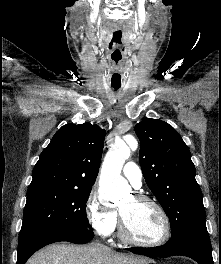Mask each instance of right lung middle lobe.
<instances>
[{
    "mask_svg": "<svg viewBox=\"0 0 221 264\" xmlns=\"http://www.w3.org/2000/svg\"><path fill=\"white\" fill-rule=\"evenodd\" d=\"M91 189L43 187L28 190L19 239L38 233L90 230L86 202Z\"/></svg>",
    "mask_w": 221,
    "mask_h": 264,
    "instance_id": "obj_1",
    "label": "right lung middle lobe"
}]
</instances>
